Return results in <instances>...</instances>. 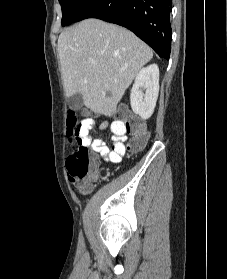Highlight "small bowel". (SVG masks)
Instances as JSON below:
<instances>
[{
    "label": "small bowel",
    "instance_id": "1",
    "mask_svg": "<svg viewBox=\"0 0 227 279\" xmlns=\"http://www.w3.org/2000/svg\"><path fill=\"white\" fill-rule=\"evenodd\" d=\"M110 128L112 134V145L107 146L105 141L100 138L91 139L90 147L92 151L99 154L106 162L118 163L125 156L127 135L122 124L119 121H110L106 118H99V121L90 119L88 121L87 130L92 133L99 134ZM78 183L77 178H72Z\"/></svg>",
    "mask_w": 227,
    "mask_h": 279
}]
</instances>
